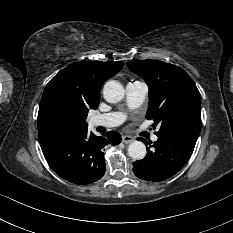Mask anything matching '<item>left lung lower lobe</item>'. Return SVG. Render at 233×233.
Wrapping results in <instances>:
<instances>
[{
  "mask_svg": "<svg viewBox=\"0 0 233 233\" xmlns=\"http://www.w3.org/2000/svg\"><path fill=\"white\" fill-rule=\"evenodd\" d=\"M199 133L198 128H183L158 135V140L153 145L149 142L146 157L133 163L134 174L147 181H162L173 176L190 159ZM139 140L148 145L145 139Z\"/></svg>",
  "mask_w": 233,
  "mask_h": 233,
  "instance_id": "1",
  "label": "left lung lower lobe"
}]
</instances>
